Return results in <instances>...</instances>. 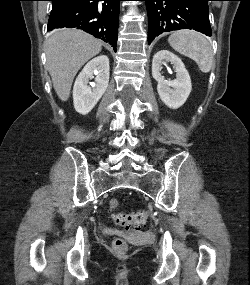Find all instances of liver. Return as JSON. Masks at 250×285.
I'll return each instance as SVG.
<instances>
[{"mask_svg":"<svg viewBox=\"0 0 250 285\" xmlns=\"http://www.w3.org/2000/svg\"><path fill=\"white\" fill-rule=\"evenodd\" d=\"M102 49L100 40L77 29L53 31L45 44L47 69L62 101L69 98L79 69Z\"/></svg>","mask_w":250,"mask_h":285,"instance_id":"6515ba94","label":"liver"}]
</instances>
